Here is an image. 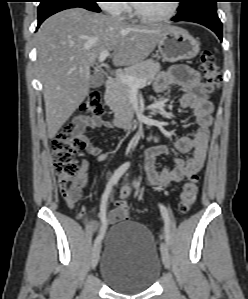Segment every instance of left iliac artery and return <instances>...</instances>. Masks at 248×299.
Masks as SVG:
<instances>
[{
  "instance_id": "1",
  "label": "left iliac artery",
  "mask_w": 248,
  "mask_h": 299,
  "mask_svg": "<svg viewBox=\"0 0 248 299\" xmlns=\"http://www.w3.org/2000/svg\"><path fill=\"white\" fill-rule=\"evenodd\" d=\"M134 186L136 188H138V183H137L136 180L134 181ZM159 207H160V211H161V214H162L164 222H165V240H166L167 245H169L170 235H169V217H168V212H167V209H166V207L164 205L159 204Z\"/></svg>"
}]
</instances>
